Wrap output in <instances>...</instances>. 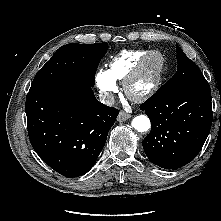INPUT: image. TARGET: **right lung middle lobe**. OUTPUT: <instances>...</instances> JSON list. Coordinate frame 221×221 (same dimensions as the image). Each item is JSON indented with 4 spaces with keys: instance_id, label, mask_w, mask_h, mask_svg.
Wrapping results in <instances>:
<instances>
[{
    "instance_id": "obj_1",
    "label": "right lung middle lobe",
    "mask_w": 221,
    "mask_h": 221,
    "mask_svg": "<svg viewBox=\"0 0 221 221\" xmlns=\"http://www.w3.org/2000/svg\"><path fill=\"white\" fill-rule=\"evenodd\" d=\"M107 49V43H71L60 47L37 72L29 92L67 83H81L92 87L97 67Z\"/></svg>"
}]
</instances>
